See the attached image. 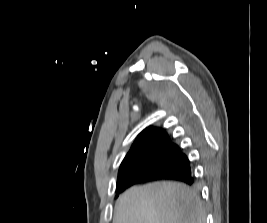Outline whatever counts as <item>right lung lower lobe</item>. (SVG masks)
I'll use <instances>...</instances> for the list:
<instances>
[{
  "label": "right lung lower lobe",
  "instance_id": "1",
  "mask_svg": "<svg viewBox=\"0 0 267 223\" xmlns=\"http://www.w3.org/2000/svg\"><path fill=\"white\" fill-rule=\"evenodd\" d=\"M159 179H172L192 185L194 183V177L187 156H185L180 163L169 172L135 171L133 173L119 176L116 188L117 196L131 185Z\"/></svg>",
  "mask_w": 267,
  "mask_h": 223
}]
</instances>
